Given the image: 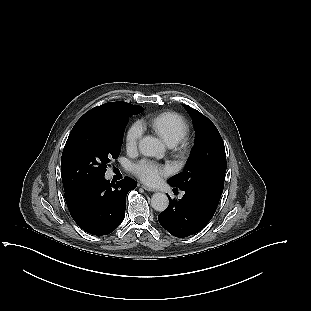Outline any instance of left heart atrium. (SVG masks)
Returning a JSON list of instances; mask_svg holds the SVG:
<instances>
[{
    "mask_svg": "<svg viewBox=\"0 0 311 311\" xmlns=\"http://www.w3.org/2000/svg\"><path fill=\"white\" fill-rule=\"evenodd\" d=\"M132 169L146 182H153L158 178V175L163 172L162 168L146 160L134 164Z\"/></svg>",
    "mask_w": 311,
    "mask_h": 311,
    "instance_id": "39dd6f15",
    "label": "left heart atrium"
}]
</instances>
